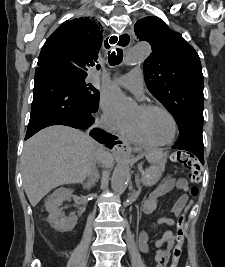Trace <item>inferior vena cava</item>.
Returning a JSON list of instances; mask_svg holds the SVG:
<instances>
[{"label": "inferior vena cava", "mask_w": 225, "mask_h": 267, "mask_svg": "<svg viewBox=\"0 0 225 267\" xmlns=\"http://www.w3.org/2000/svg\"><path fill=\"white\" fill-rule=\"evenodd\" d=\"M101 128L104 129L107 132H111L112 131L111 124L106 120H102L101 121ZM105 153H106V151H105L104 147L103 146H99L97 159H103ZM88 176H89V180H96L98 178V176H96V168L94 166L90 170Z\"/></svg>", "instance_id": "602c4592"}]
</instances>
